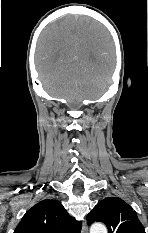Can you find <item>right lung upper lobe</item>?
<instances>
[{
    "label": "right lung upper lobe",
    "mask_w": 148,
    "mask_h": 233,
    "mask_svg": "<svg viewBox=\"0 0 148 233\" xmlns=\"http://www.w3.org/2000/svg\"><path fill=\"white\" fill-rule=\"evenodd\" d=\"M81 227L57 200L45 199L23 216L14 233H80Z\"/></svg>",
    "instance_id": "cb5924a9"
}]
</instances>
